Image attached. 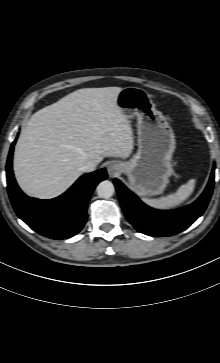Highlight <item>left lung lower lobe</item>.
Instances as JSON below:
<instances>
[{
    "label": "left lung lower lobe",
    "mask_w": 220,
    "mask_h": 363,
    "mask_svg": "<svg viewBox=\"0 0 220 363\" xmlns=\"http://www.w3.org/2000/svg\"><path fill=\"white\" fill-rule=\"evenodd\" d=\"M214 170L202 195L190 206L176 211H158L143 204L119 180L114 184L125 216L135 229L150 236H172L188 228L205 211L214 187Z\"/></svg>",
    "instance_id": "1"
}]
</instances>
